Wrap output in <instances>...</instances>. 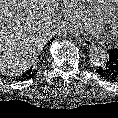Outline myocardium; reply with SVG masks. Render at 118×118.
<instances>
[{
  "mask_svg": "<svg viewBox=\"0 0 118 118\" xmlns=\"http://www.w3.org/2000/svg\"><path fill=\"white\" fill-rule=\"evenodd\" d=\"M109 25V30L108 33L111 35L115 40L118 41V0L114 1L111 5V10H110V16L108 20L104 21ZM104 22H96L97 25V31L100 29L99 24L104 23Z\"/></svg>",
  "mask_w": 118,
  "mask_h": 118,
  "instance_id": "f54148a6",
  "label": "myocardium"
}]
</instances>
